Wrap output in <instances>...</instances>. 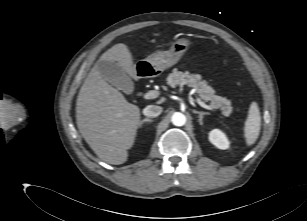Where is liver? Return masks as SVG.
<instances>
[{"label": "liver", "mask_w": 307, "mask_h": 221, "mask_svg": "<svg viewBox=\"0 0 307 221\" xmlns=\"http://www.w3.org/2000/svg\"><path fill=\"white\" fill-rule=\"evenodd\" d=\"M99 60L118 62L129 76L136 78V65L126 44L112 46ZM76 121L95 154L108 164L119 165L127 161L128 150L135 142L140 109L109 85L95 65L79 91Z\"/></svg>", "instance_id": "liver-1"}]
</instances>
